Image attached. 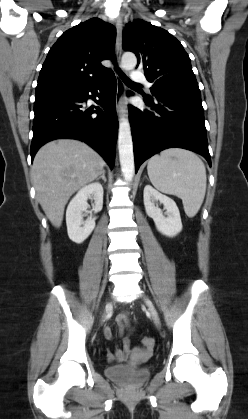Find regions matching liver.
I'll list each match as a JSON object with an SVG mask.
<instances>
[{"label": "liver", "instance_id": "liver-1", "mask_svg": "<svg viewBox=\"0 0 248 419\" xmlns=\"http://www.w3.org/2000/svg\"><path fill=\"white\" fill-rule=\"evenodd\" d=\"M104 166L103 158L78 140L60 139L40 148L31 176L36 198L54 227L61 226L72 194L100 176Z\"/></svg>", "mask_w": 248, "mask_h": 419}]
</instances>
